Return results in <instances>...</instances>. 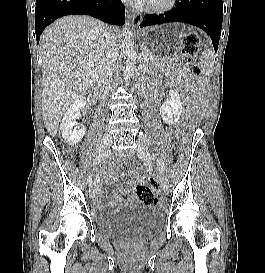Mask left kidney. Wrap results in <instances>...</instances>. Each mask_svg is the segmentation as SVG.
Wrapping results in <instances>:
<instances>
[{"label":"left kidney","instance_id":"5707ae66","mask_svg":"<svg viewBox=\"0 0 265 273\" xmlns=\"http://www.w3.org/2000/svg\"><path fill=\"white\" fill-rule=\"evenodd\" d=\"M182 113V102L179 92L176 89H170L167 100L160 107V115L166 124L176 123Z\"/></svg>","mask_w":265,"mask_h":273}]
</instances>
